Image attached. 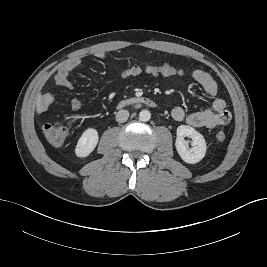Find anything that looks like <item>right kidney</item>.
Here are the masks:
<instances>
[{
    "label": "right kidney",
    "mask_w": 267,
    "mask_h": 267,
    "mask_svg": "<svg viewBox=\"0 0 267 267\" xmlns=\"http://www.w3.org/2000/svg\"><path fill=\"white\" fill-rule=\"evenodd\" d=\"M99 140L98 132L94 128L86 129L78 140L75 148L76 156L87 157L97 146Z\"/></svg>",
    "instance_id": "ca27d5eb"
}]
</instances>
